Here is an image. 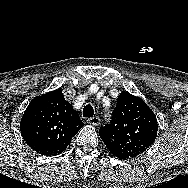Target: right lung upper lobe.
Listing matches in <instances>:
<instances>
[{"label": "right lung upper lobe", "mask_w": 188, "mask_h": 188, "mask_svg": "<svg viewBox=\"0 0 188 188\" xmlns=\"http://www.w3.org/2000/svg\"><path fill=\"white\" fill-rule=\"evenodd\" d=\"M83 126L78 112L60 89L35 97L20 122L26 144L46 156L63 152Z\"/></svg>", "instance_id": "obj_1"}]
</instances>
